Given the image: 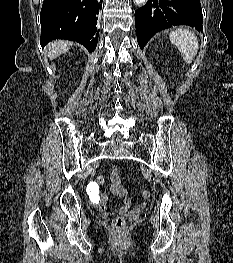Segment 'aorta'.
Returning a JSON list of instances; mask_svg holds the SVG:
<instances>
[{
  "instance_id": "1",
  "label": "aorta",
  "mask_w": 233,
  "mask_h": 263,
  "mask_svg": "<svg viewBox=\"0 0 233 263\" xmlns=\"http://www.w3.org/2000/svg\"><path fill=\"white\" fill-rule=\"evenodd\" d=\"M136 5H144L147 0H133Z\"/></svg>"
}]
</instances>
